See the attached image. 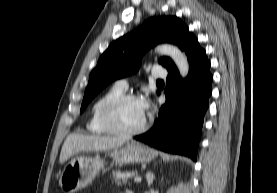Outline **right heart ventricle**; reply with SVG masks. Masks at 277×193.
<instances>
[{
	"mask_svg": "<svg viewBox=\"0 0 277 193\" xmlns=\"http://www.w3.org/2000/svg\"><path fill=\"white\" fill-rule=\"evenodd\" d=\"M123 90L118 88L116 85L109 88L107 91L102 93L91 105L89 110V117L86 123L87 130L92 134L103 135L107 134L108 131L104 128L100 120V110L102 105L110 98L120 95Z\"/></svg>",
	"mask_w": 277,
	"mask_h": 193,
	"instance_id": "1",
	"label": "right heart ventricle"
}]
</instances>
